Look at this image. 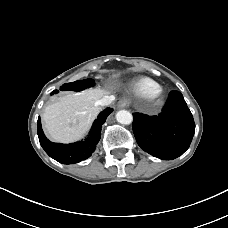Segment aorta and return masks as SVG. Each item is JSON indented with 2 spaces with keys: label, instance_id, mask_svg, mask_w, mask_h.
Instances as JSON below:
<instances>
[{
  "label": "aorta",
  "instance_id": "762f6f07",
  "mask_svg": "<svg viewBox=\"0 0 228 228\" xmlns=\"http://www.w3.org/2000/svg\"><path fill=\"white\" fill-rule=\"evenodd\" d=\"M116 120L120 124L129 125V124L132 123L133 116H132V114L129 111L120 110L116 114Z\"/></svg>",
  "mask_w": 228,
  "mask_h": 228
}]
</instances>
